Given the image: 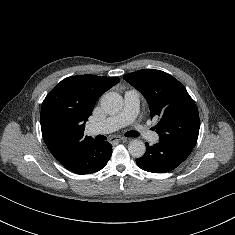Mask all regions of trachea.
Masks as SVG:
<instances>
[{"label": "trachea", "instance_id": "trachea-1", "mask_svg": "<svg viewBox=\"0 0 235 235\" xmlns=\"http://www.w3.org/2000/svg\"><path fill=\"white\" fill-rule=\"evenodd\" d=\"M125 135L126 137H137L139 134L137 131H128ZM97 140H106V137L103 135H98Z\"/></svg>", "mask_w": 235, "mask_h": 235}]
</instances>
